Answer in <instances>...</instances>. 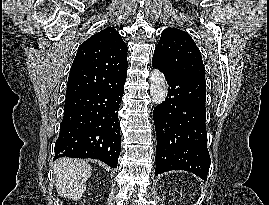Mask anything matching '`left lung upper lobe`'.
<instances>
[{
  "label": "left lung upper lobe",
  "mask_w": 269,
  "mask_h": 205,
  "mask_svg": "<svg viewBox=\"0 0 269 205\" xmlns=\"http://www.w3.org/2000/svg\"><path fill=\"white\" fill-rule=\"evenodd\" d=\"M152 61L170 74L205 78L200 50L189 34L177 28L162 32Z\"/></svg>",
  "instance_id": "5c2ea615"
}]
</instances>
